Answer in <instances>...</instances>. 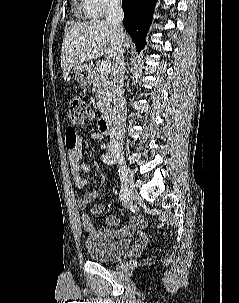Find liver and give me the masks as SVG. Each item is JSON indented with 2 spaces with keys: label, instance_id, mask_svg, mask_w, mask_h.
<instances>
[{
  "label": "liver",
  "instance_id": "liver-1",
  "mask_svg": "<svg viewBox=\"0 0 239 303\" xmlns=\"http://www.w3.org/2000/svg\"><path fill=\"white\" fill-rule=\"evenodd\" d=\"M124 48L130 45L127 35ZM109 45V48L107 49ZM117 36L114 26L105 20L93 19L71 25L64 36L61 50V69L66 79L70 69L85 61L97 59L104 53L114 58Z\"/></svg>",
  "mask_w": 239,
  "mask_h": 303
}]
</instances>
